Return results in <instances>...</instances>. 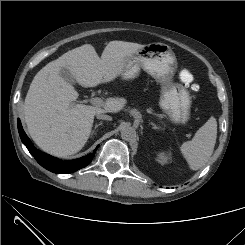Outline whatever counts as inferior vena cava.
Segmentation results:
<instances>
[{"mask_svg":"<svg viewBox=\"0 0 245 245\" xmlns=\"http://www.w3.org/2000/svg\"><path fill=\"white\" fill-rule=\"evenodd\" d=\"M96 117L97 119H101V120H109V121L112 120L111 116L100 113V112L96 113Z\"/></svg>","mask_w":245,"mask_h":245,"instance_id":"1","label":"inferior vena cava"}]
</instances>
